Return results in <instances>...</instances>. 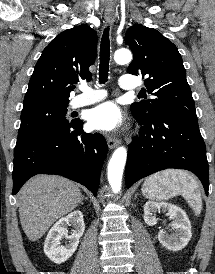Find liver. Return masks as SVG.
Listing matches in <instances>:
<instances>
[{
	"label": "liver",
	"instance_id": "obj_1",
	"mask_svg": "<svg viewBox=\"0 0 215 274\" xmlns=\"http://www.w3.org/2000/svg\"><path fill=\"white\" fill-rule=\"evenodd\" d=\"M18 199L22 229L30 241H37L55 221L79 205L82 194L68 179L38 175L21 188Z\"/></svg>",
	"mask_w": 215,
	"mask_h": 274
}]
</instances>
